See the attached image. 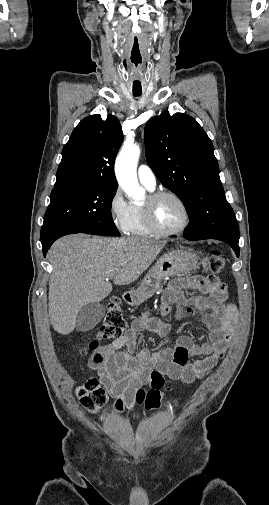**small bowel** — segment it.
<instances>
[{"mask_svg": "<svg viewBox=\"0 0 269 505\" xmlns=\"http://www.w3.org/2000/svg\"><path fill=\"white\" fill-rule=\"evenodd\" d=\"M203 274L206 278L193 276L173 282L167 290V302L162 310L171 315L174 307L169 303H179L177 318L199 317L208 330V341L195 344L191 338L182 336L173 348L151 355L146 349H138L137 334L150 330L165 336L170 326L142 316L132 321L124 335L100 347L90 357L89 366L97 371L99 382L115 398L117 413H122L124 409L133 410L136 392L147 384L153 370L190 384L208 375L224 356L234 330L237 309L233 304L226 303V285L219 279L213 280L208 270ZM183 287L197 289L203 294L185 298L181 293ZM191 357L194 359L191 360Z\"/></svg>", "mask_w": 269, "mask_h": 505, "instance_id": "c3829d8e", "label": "small bowel"}]
</instances>
